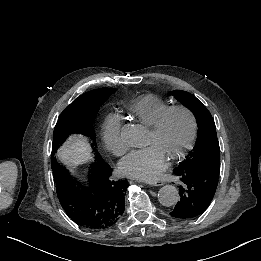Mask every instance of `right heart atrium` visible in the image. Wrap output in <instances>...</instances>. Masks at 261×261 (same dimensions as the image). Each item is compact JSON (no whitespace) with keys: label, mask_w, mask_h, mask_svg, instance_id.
Wrapping results in <instances>:
<instances>
[{"label":"right heart atrium","mask_w":261,"mask_h":261,"mask_svg":"<svg viewBox=\"0 0 261 261\" xmlns=\"http://www.w3.org/2000/svg\"><path fill=\"white\" fill-rule=\"evenodd\" d=\"M119 126L114 119H107L102 126V141L107 152L121 156L127 149L120 140Z\"/></svg>","instance_id":"obj_1"}]
</instances>
